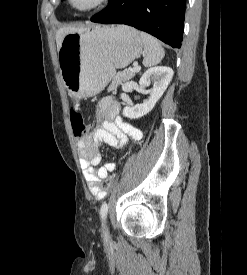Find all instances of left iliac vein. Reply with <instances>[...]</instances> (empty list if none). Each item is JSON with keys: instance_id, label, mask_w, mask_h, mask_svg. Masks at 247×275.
Wrapping results in <instances>:
<instances>
[{"instance_id": "4c4485c4", "label": "left iliac vein", "mask_w": 247, "mask_h": 275, "mask_svg": "<svg viewBox=\"0 0 247 275\" xmlns=\"http://www.w3.org/2000/svg\"><path fill=\"white\" fill-rule=\"evenodd\" d=\"M103 235L105 238L109 237V230L106 223H104V226H103Z\"/></svg>"}]
</instances>
